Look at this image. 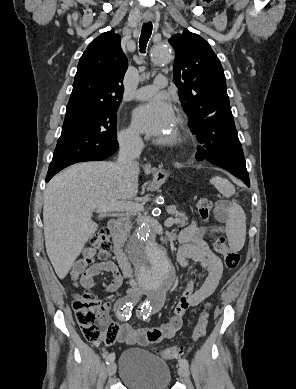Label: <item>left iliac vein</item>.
I'll use <instances>...</instances> for the list:
<instances>
[{"label":"left iliac vein","mask_w":296,"mask_h":389,"mask_svg":"<svg viewBox=\"0 0 296 389\" xmlns=\"http://www.w3.org/2000/svg\"><path fill=\"white\" fill-rule=\"evenodd\" d=\"M178 374L184 378V379H189V370L188 367L185 366H180L178 369Z\"/></svg>","instance_id":"left-iliac-vein-1"}]
</instances>
